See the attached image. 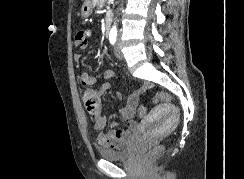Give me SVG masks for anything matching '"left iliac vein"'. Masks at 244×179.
Listing matches in <instances>:
<instances>
[{"instance_id":"obj_1","label":"left iliac vein","mask_w":244,"mask_h":179,"mask_svg":"<svg viewBox=\"0 0 244 179\" xmlns=\"http://www.w3.org/2000/svg\"><path fill=\"white\" fill-rule=\"evenodd\" d=\"M114 52H115V55L118 59L122 60L123 59V54L121 53V48H120V41L119 39L117 40L116 42V45L114 47Z\"/></svg>"}]
</instances>
